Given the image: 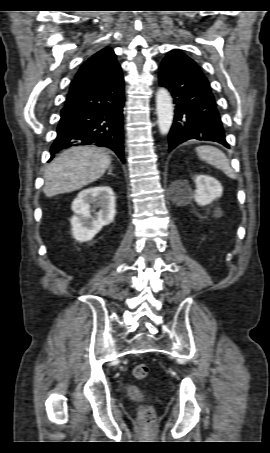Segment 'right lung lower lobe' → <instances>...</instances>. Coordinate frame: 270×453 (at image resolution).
Masks as SVG:
<instances>
[{
	"label": "right lung lower lobe",
	"instance_id": "98d812e1",
	"mask_svg": "<svg viewBox=\"0 0 270 453\" xmlns=\"http://www.w3.org/2000/svg\"><path fill=\"white\" fill-rule=\"evenodd\" d=\"M123 105L121 70L98 86L70 91L61 110L50 160L71 146L94 144L112 149L124 162Z\"/></svg>",
	"mask_w": 270,
	"mask_h": 453
}]
</instances>
